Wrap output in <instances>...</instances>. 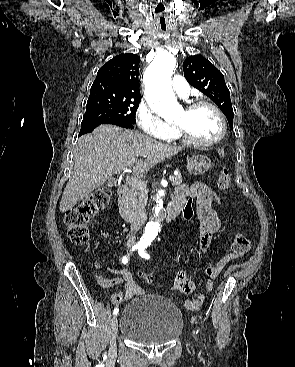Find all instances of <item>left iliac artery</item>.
<instances>
[{
	"mask_svg": "<svg viewBox=\"0 0 295 367\" xmlns=\"http://www.w3.org/2000/svg\"><path fill=\"white\" fill-rule=\"evenodd\" d=\"M138 253H139V255L142 257V258H145V259H149L150 258V256H149V254L146 252V247H140L139 249H138Z\"/></svg>",
	"mask_w": 295,
	"mask_h": 367,
	"instance_id": "obj_1",
	"label": "left iliac artery"
}]
</instances>
